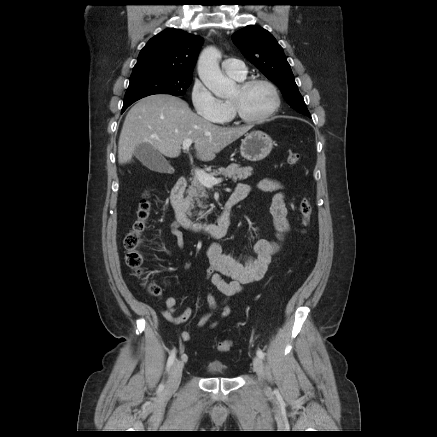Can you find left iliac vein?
Returning a JSON list of instances; mask_svg holds the SVG:
<instances>
[{"label":"left iliac vein","mask_w":437,"mask_h":437,"mask_svg":"<svg viewBox=\"0 0 437 437\" xmlns=\"http://www.w3.org/2000/svg\"><path fill=\"white\" fill-rule=\"evenodd\" d=\"M253 369L257 373L259 378L261 380H263V378H264V365H263V361L261 358H259V357L253 358Z\"/></svg>","instance_id":"4c4485c4"}]
</instances>
